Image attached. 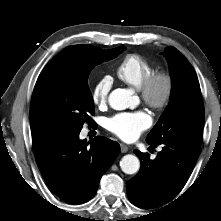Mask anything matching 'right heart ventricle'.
<instances>
[{
	"label": "right heart ventricle",
	"instance_id": "obj_1",
	"mask_svg": "<svg viewBox=\"0 0 221 221\" xmlns=\"http://www.w3.org/2000/svg\"><path fill=\"white\" fill-rule=\"evenodd\" d=\"M153 70L154 65L148 58L139 54H128L119 63L116 73L120 80L139 89Z\"/></svg>",
	"mask_w": 221,
	"mask_h": 221
}]
</instances>
